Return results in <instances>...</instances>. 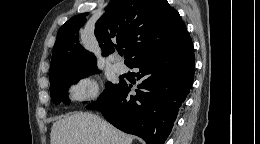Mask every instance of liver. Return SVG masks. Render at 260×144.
<instances>
[{"label":"liver","mask_w":260,"mask_h":144,"mask_svg":"<svg viewBox=\"0 0 260 144\" xmlns=\"http://www.w3.org/2000/svg\"><path fill=\"white\" fill-rule=\"evenodd\" d=\"M51 144H132L133 137L91 113L77 112L56 121Z\"/></svg>","instance_id":"obj_1"}]
</instances>
